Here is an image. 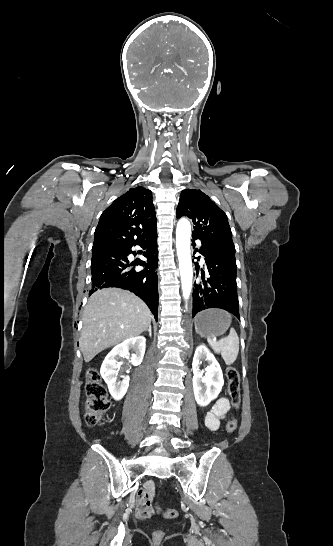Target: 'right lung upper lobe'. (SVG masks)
Returning a JSON list of instances; mask_svg holds the SVG:
<instances>
[{
    "mask_svg": "<svg viewBox=\"0 0 333 546\" xmlns=\"http://www.w3.org/2000/svg\"><path fill=\"white\" fill-rule=\"evenodd\" d=\"M156 230L151 191L136 187L117 198L101 215L93 246L113 240H138Z\"/></svg>",
    "mask_w": 333,
    "mask_h": 546,
    "instance_id": "cb5924a9",
    "label": "right lung upper lobe"
}]
</instances>
